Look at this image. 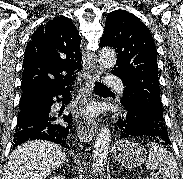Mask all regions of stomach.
I'll use <instances>...</instances> for the list:
<instances>
[{"instance_id":"obj_1","label":"stomach","mask_w":183,"mask_h":179,"mask_svg":"<svg viewBox=\"0 0 183 179\" xmlns=\"http://www.w3.org/2000/svg\"><path fill=\"white\" fill-rule=\"evenodd\" d=\"M113 157L121 166L134 168L141 165L146 159L145 147L132 141H120L113 150Z\"/></svg>"}]
</instances>
